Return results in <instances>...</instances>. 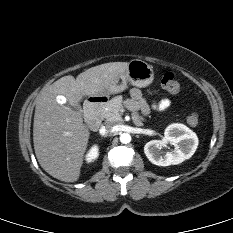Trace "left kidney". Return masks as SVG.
<instances>
[{"instance_id": "5707ae66", "label": "left kidney", "mask_w": 233, "mask_h": 233, "mask_svg": "<svg viewBox=\"0 0 233 233\" xmlns=\"http://www.w3.org/2000/svg\"><path fill=\"white\" fill-rule=\"evenodd\" d=\"M173 145L174 149L162 152L163 147ZM198 146L197 135L183 124H171L162 140H152L144 146V153L149 161L158 166L177 165L189 159Z\"/></svg>"}]
</instances>
